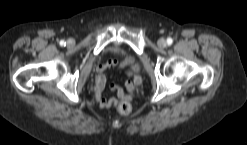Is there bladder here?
I'll use <instances>...</instances> for the list:
<instances>
[{"mask_svg":"<svg viewBox=\"0 0 247 145\" xmlns=\"http://www.w3.org/2000/svg\"><path fill=\"white\" fill-rule=\"evenodd\" d=\"M116 51H118L119 49L118 48H115Z\"/></svg>","mask_w":247,"mask_h":145,"instance_id":"31cf9c89","label":"bladder"}]
</instances>
